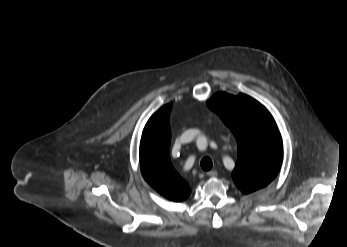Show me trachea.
I'll return each instance as SVG.
<instances>
[{
	"mask_svg": "<svg viewBox=\"0 0 347 247\" xmlns=\"http://www.w3.org/2000/svg\"><path fill=\"white\" fill-rule=\"evenodd\" d=\"M201 168L204 170V171H209L211 170L212 168V160L209 158V157H204L202 160H201Z\"/></svg>",
	"mask_w": 347,
	"mask_h": 247,
	"instance_id": "3493384b",
	"label": "trachea"
}]
</instances>
